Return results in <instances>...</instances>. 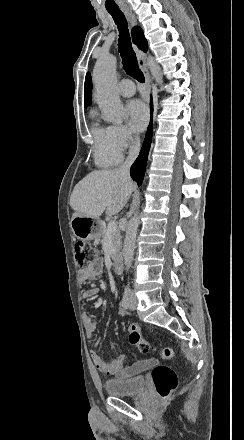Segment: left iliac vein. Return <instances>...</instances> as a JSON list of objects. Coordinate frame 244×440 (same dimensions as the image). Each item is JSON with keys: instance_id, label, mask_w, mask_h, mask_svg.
<instances>
[{"instance_id": "obj_1", "label": "left iliac vein", "mask_w": 244, "mask_h": 440, "mask_svg": "<svg viewBox=\"0 0 244 440\" xmlns=\"http://www.w3.org/2000/svg\"><path fill=\"white\" fill-rule=\"evenodd\" d=\"M136 306H137V299H136L135 295H131L129 298V309L135 310Z\"/></svg>"}]
</instances>
